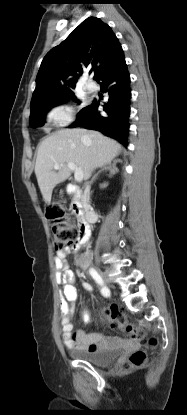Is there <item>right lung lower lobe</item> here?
Listing matches in <instances>:
<instances>
[{"instance_id":"1","label":"right lung lower lobe","mask_w":187,"mask_h":415,"mask_svg":"<svg viewBox=\"0 0 187 415\" xmlns=\"http://www.w3.org/2000/svg\"><path fill=\"white\" fill-rule=\"evenodd\" d=\"M101 91L108 93L103 112L99 102H92L80 110L78 119L70 127H83L102 132L127 146L128 118L130 115V77L123 51L96 78Z\"/></svg>"}]
</instances>
